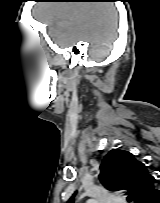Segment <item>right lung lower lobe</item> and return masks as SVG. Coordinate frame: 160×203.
I'll return each instance as SVG.
<instances>
[{
  "mask_svg": "<svg viewBox=\"0 0 160 203\" xmlns=\"http://www.w3.org/2000/svg\"><path fill=\"white\" fill-rule=\"evenodd\" d=\"M145 203H160V190L148 198Z\"/></svg>",
  "mask_w": 160,
  "mask_h": 203,
  "instance_id": "right-lung-lower-lobe-1",
  "label": "right lung lower lobe"
}]
</instances>
